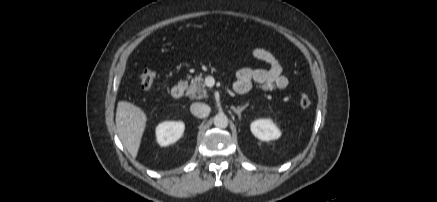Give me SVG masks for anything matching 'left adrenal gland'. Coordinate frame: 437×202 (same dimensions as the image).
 Masks as SVG:
<instances>
[{"mask_svg":"<svg viewBox=\"0 0 437 202\" xmlns=\"http://www.w3.org/2000/svg\"><path fill=\"white\" fill-rule=\"evenodd\" d=\"M248 106V104L241 107H233V111L238 115L239 120L241 119V112Z\"/></svg>","mask_w":437,"mask_h":202,"instance_id":"1","label":"left adrenal gland"}]
</instances>
